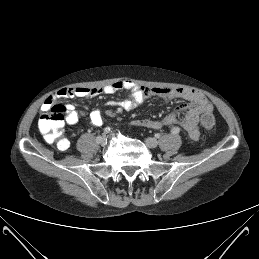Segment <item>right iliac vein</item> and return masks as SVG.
<instances>
[{
  "instance_id": "63e3f726",
  "label": "right iliac vein",
  "mask_w": 259,
  "mask_h": 259,
  "mask_svg": "<svg viewBox=\"0 0 259 259\" xmlns=\"http://www.w3.org/2000/svg\"><path fill=\"white\" fill-rule=\"evenodd\" d=\"M97 143H99L102 146H105L107 144V138L106 136H100V140L97 141Z\"/></svg>"
}]
</instances>
